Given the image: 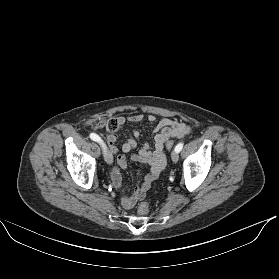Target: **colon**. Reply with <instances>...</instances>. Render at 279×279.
Segmentation results:
<instances>
[{
    "mask_svg": "<svg viewBox=\"0 0 279 279\" xmlns=\"http://www.w3.org/2000/svg\"><path fill=\"white\" fill-rule=\"evenodd\" d=\"M119 127V122L117 119H109L107 121H102L98 124V128L105 130L109 134H114ZM174 146V139H170L166 142V148L171 150ZM149 212V205L147 202H142L138 207V213L140 215H146Z\"/></svg>",
    "mask_w": 279,
    "mask_h": 279,
    "instance_id": "colon-1",
    "label": "colon"
}]
</instances>
